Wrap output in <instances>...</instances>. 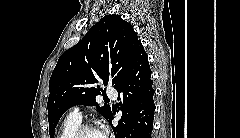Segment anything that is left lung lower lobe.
Listing matches in <instances>:
<instances>
[{
  "instance_id": "obj_1",
  "label": "left lung lower lobe",
  "mask_w": 240,
  "mask_h": 138,
  "mask_svg": "<svg viewBox=\"0 0 240 138\" xmlns=\"http://www.w3.org/2000/svg\"><path fill=\"white\" fill-rule=\"evenodd\" d=\"M121 96L122 117L113 127L115 138H151L154 121V89L151 69L144 49H141L126 77L116 88ZM113 114L108 117L111 124Z\"/></svg>"
}]
</instances>
